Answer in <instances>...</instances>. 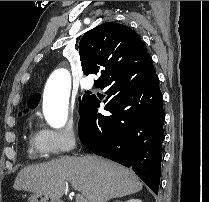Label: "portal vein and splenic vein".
<instances>
[{"label":"portal vein and splenic vein","mask_w":209,"mask_h":202,"mask_svg":"<svg viewBox=\"0 0 209 202\" xmlns=\"http://www.w3.org/2000/svg\"><path fill=\"white\" fill-rule=\"evenodd\" d=\"M76 202H86L85 198L81 194L76 195Z\"/></svg>","instance_id":"18ae733b"}]
</instances>
